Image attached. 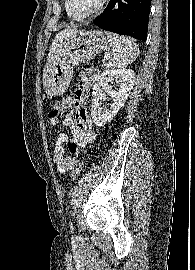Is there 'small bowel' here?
Wrapping results in <instances>:
<instances>
[{"mask_svg":"<svg viewBox=\"0 0 195 270\" xmlns=\"http://www.w3.org/2000/svg\"><path fill=\"white\" fill-rule=\"evenodd\" d=\"M96 77V70H86L82 74L74 94L62 100L65 109H75L62 120L59 117L50 118L49 120L51 127H58L62 123L69 126L72 134L71 138H69L66 133L61 132L56 139L54 163L59 173L73 170L78 163L76 156L87 144L96 139L91 117L87 109L81 107Z\"/></svg>","mask_w":195,"mask_h":270,"instance_id":"1","label":"small bowel"}]
</instances>
